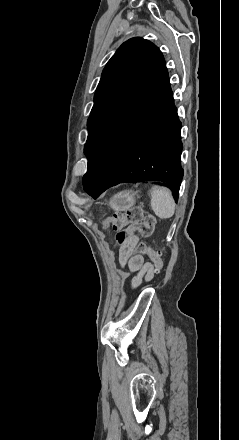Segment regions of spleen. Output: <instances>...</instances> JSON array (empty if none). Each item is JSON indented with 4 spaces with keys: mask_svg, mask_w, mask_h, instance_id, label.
Instances as JSON below:
<instances>
[{
    "mask_svg": "<svg viewBox=\"0 0 239 440\" xmlns=\"http://www.w3.org/2000/svg\"><path fill=\"white\" fill-rule=\"evenodd\" d=\"M151 196V208L158 218L165 220L174 216L175 202L169 188L153 186Z\"/></svg>",
    "mask_w": 239,
    "mask_h": 440,
    "instance_id": "1",
    "label": "spleen"
}]
</instances>
